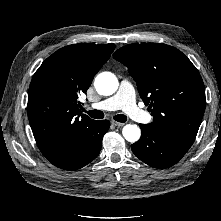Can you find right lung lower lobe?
<instances>
[{"instance_id":"1","label":"right lung lower lobe","mask_w":221,"mask_h":221,"mask_svg":"<svg viewBox=\"0 0 221 221\" xmlns=\"http://www.w3.org/2000/svg\"><path fill=\"white\" fill-rule=\"evenodd\" d=\"M109 127L108 120L95 121L85 130L74 150L46 158L64 170L80 169L97 157L101 150L102 138Z\"/></svg>"}]
</instances>
